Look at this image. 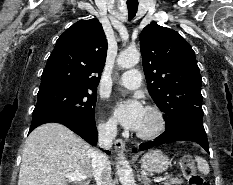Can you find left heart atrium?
I'll return each instance as SVG.
<instances>
[{
	"label": "left heart atrium",
	"instance_id": "1",
	"mask_svg": "<svg viewBox=\"0 0 233 185\" xmlns=\"http://www.w3.org/2000/svg\"><path fill=\"white\" fill-rule=\"evenodd\" d=\"M145 109L137 99L116 103L113 108L114 118L125 128L137 131L142 123Z\"/></svg>",
	"mask_w": 233,
	"mask_h": 185
}]
</instances>
